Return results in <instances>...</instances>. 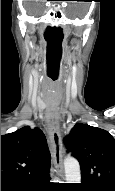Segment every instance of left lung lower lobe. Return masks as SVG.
Returning <instances> with one entry per match:
<instances>
[{
	"label": "left lung lower lobe",
	"mask_w": 115,
	"mask_h": 191,
	"mask_svg": "<svg viewBox=\"0 0 115 191\" xmlns=\"http://www.w3.org/2000/svg\"><path fill=\"white\" fill-rule=\"evenodd\" d=\"M80 188L82 191H100V190L95 189V188H89V187H83V186H80Z\"/></svg>",
	"instance_id": "obj_1"
}]
</instances>
